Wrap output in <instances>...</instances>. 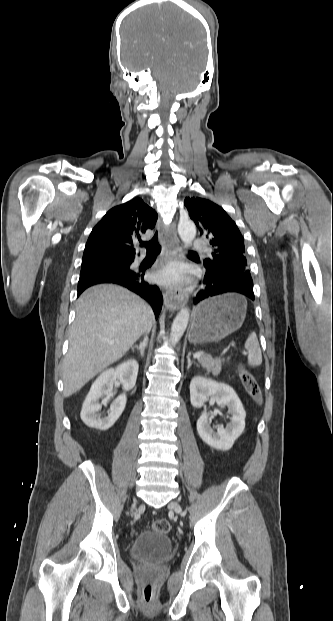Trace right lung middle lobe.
Segmentation results:
<instances>
[{"label":"right lung middle lobe","instance_id":"obj_1","mask_svg":"<svg viewBox=\"0 0 333 621\" xmlns=\"http://www.w3.org/2000/svg\"><path fill=\"white\" fill-rule=\"evenodd\" d=\"M99 262H112L116 264H123L127 261L124 258L82 259V266Z\"/></svg>","mask_w":333,"mask_h":621}]
</instances>
